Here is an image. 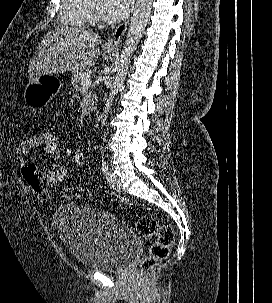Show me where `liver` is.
Segmentation results:
<instances>
[{
    "label": "liver",
    "mask_w": 272,
    "mask_h": 303,
    "mask_svg": "<svg viewBox=\"0 0 272 303\" xmlns=\"http://www.w3.org/2000/svg\"><path fill=\"white\" fill-rule=\"evenodd\" d=\"M100 43V36L84 27H56L34 53L28 68L29 81L42 75L88 69L99 57Z\"/></svg>",
    "instance_id": "6515ba94"
}]
</instances>
